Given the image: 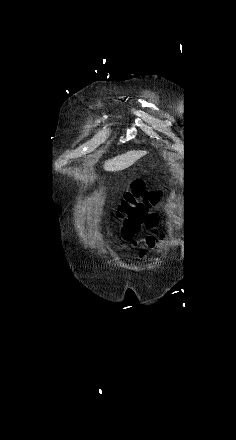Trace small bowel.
Segmentation results:
<instances>
[{
    "mask_svg": "<svg viewBox=\"0 0 236 440\" xmlns=\"http://www.w3.org/2000/svg\"><path fill=\"white\" fill-rule=\"evenodd\" d=\"M145 225L150 233L143 239L134 241L132 245L135 248L139 247L140 245H144L146 248H153L159 241L163 240V235L158 231L159 218L157 214H151L146 219ZM142 255V251L137 254L138 257H141Z\"/></svg>",
    "mask_w": 236,
    "mask_h": 440,
    "instance_id": "small-bowel-1",
    "label": "small bowel"
}]
</instances>
